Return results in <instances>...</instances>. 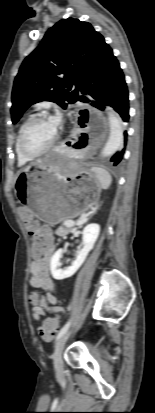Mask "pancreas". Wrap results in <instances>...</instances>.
<instances>
[{
    "instance_id": "obj_1",
    "label": "pancreas",
    "mask_w": 155,
    "mask_h": 413,
    "mask_svg": "<svg viewBox=\"0 0 155 413\" xmlns=\"http://www.w3.org/2000/svg\"><path fill=\"white\" fill-rule=\"evenodd\" d=\"M68 222V221H67ZM71 231L70 227L61 226L57 231L56 234L59 236H64Z\"/></svg>"
}]
</instances>
